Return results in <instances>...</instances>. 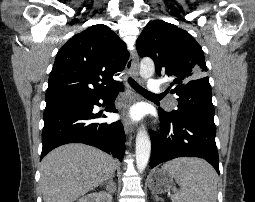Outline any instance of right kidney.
I'll return each instance as SVG.
<instances>
[{"label": "right kidney", "mask_w": 255, "mask_h": 202, "mask_svg": "<svg viewBox=\"0 0 255 202\" xmlns=\"http://www.w3.org/2000/svg\"><path fill=\"white\" fill-rule=\"evenodd\" d=\"M77 202H112V196L106 192L90 193Z\"/></svg>", "instance_id": "obj_1"}]
</instances>
